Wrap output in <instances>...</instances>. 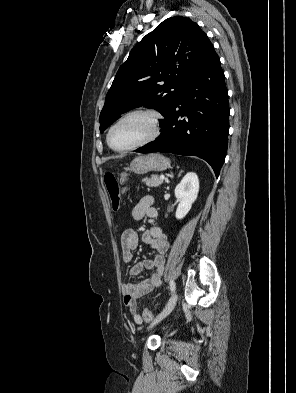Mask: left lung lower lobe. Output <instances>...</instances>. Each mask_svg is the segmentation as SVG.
<instances>
[{"mask_svg":"<svg viewBox=\"0 0 296 393\" xmlns=\"http://www.w3.org/2000/svg\"><path fill=\"white\" fill-rule=\"evenodd\" d=\"M228 131V90L214 50L177 98L160 136L136 151L197 156L207 161L218 177L228 147Z\"/></svg>","mask_w":296,"mask_h":393,"instance_id":"0a47b994","label":"left lung lower lobe"}]
</instances>
